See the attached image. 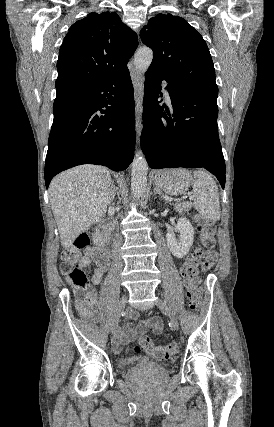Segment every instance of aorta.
<instances>
[{
	"instance_id": "762f6f07",
	"label": "aorta",
	"mask_w": 274,
	"mask_h": 427,
	"mask_svg": "<svg viewBox=\"0 0 274 427\" xmlns=\"http://www.w3.org/2000/svg\"><path fill=\"white\" fill-rule=\"evenodd\" d=\"M153 59V52L148 47H141L135 54L134 65L136 70L145 73ZM131 191L135 198H140L147 188L148 163L142 151L136 152L131 164Z\"/></svg>"
}]
</instances>
